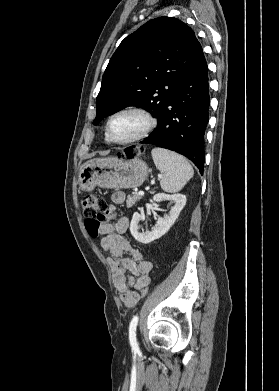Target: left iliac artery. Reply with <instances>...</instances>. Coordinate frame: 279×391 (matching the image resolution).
<instances>
[{"label": "left iliac artery", "mask_w": 279, "mask_h": 391, "mask_svg": "<svg viewBox=\"0 0 279 391\" xmlns=\"http://www.w3.org/2000/svg\"><path fill=\"white\" fill-rule=\"evenodd\" d=\"M138 324V316H134L129 326V341L133 349H138V343L136 339V328Z\"/></svg>", "instance_id": "obj_1"}]
</instances>
